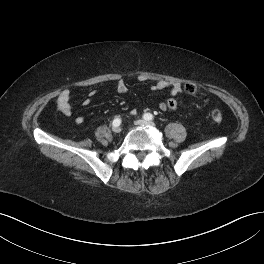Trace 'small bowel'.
<instances>
[{
  "label": "small bowel",
  "mask_w": 264,
  "mask_h": 264,
  "mask_svg": "<svg viewBox=\"0 0 264 264\" xmlns=\"http://www.w3.org/2000/svg\"><path fill=\"white\" fill-rule=\"evenodd\" d=\"M139 81H146V77L144 76H139ZM151 89L153 91L156 90H168L169 94L171 96H176L182 92V87L179 83L176 82H170L167 80H159L155 84L151 86ZM116 90L120 94H125L128 91V86L125 82L124 79H118L116 82ZM94 95V92L90 93V97ZM83 105L87 106L91 103L90 98H86L83 100ZM58 106L62 114L65 116H70L72 113V108H71V92L68 89H65L61 91V93L58 96ZM159 108L162 111L166 110V106L164 103H161L159 105ZM84 122V117L83 116H77L75 118V123L76 124H82Z\"/></svg>",
  "instance_id": "c3829d8e"
}]
</instances>
